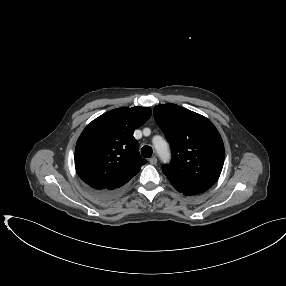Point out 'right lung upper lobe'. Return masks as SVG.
Listing matches in <instances>:
<instances>
[{"instance_id": "cb5924a9", "label": "right lung upper lobe", "mask_w": 286, "mask_h": 286, "mask_svg": "<svg viewBox=\"0 0 286 286\" xmlns=\"http://www.w3.org/2000/svg\"><path fill=\"white\" fill-rule=\"evenodd\" d=\"M151 116L148 107H123L104 113L81 133L75 149V168L88 187L121 191L147 161L139 154L134 130Z\"/></svg>"}]
</instances>
